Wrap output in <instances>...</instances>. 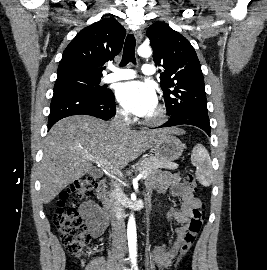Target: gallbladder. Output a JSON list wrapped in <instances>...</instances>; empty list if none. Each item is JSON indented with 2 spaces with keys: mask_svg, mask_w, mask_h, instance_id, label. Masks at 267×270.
Segmentation results:
<instances>
[{
  "mask_svg": "<svg viewBox=\"0 0 267 270\" xmlns=\"http://www.w3.org/2000/svg\"><path fill=\"white\" fill-rule=\"evenodd\" d=\"M88 173L93 178H100L102 176V172L97 169H91Z\"/></svg>",
  "mask_w": 267,
  "mask_h": 270,
  "instance_id": "bac80fb5",
  "label": "gallbladder"
}]
</instances>
